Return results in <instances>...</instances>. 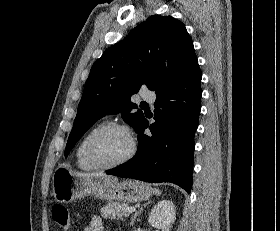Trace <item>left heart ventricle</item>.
Returning a JSON list of instances; mask_svg holds the SVG:
<instances>
[{
	"mask_svg": "<svg viewBox=\"0 0 280 231\" xmlns=\"http://www.w3.org/2000/svg\"><path fill=\"white\" fill-rule=\"evenodd\" d=\"M128 138L119 130L102 135L92 148L93 158L100 164H109L120 159L128 149Z\"/></svg>",
	"mask_w": 280,
	"mask_h": 231,
	"instance_id": "obj_1",
	"label": "left heart ventricle"
}]
</instances>
